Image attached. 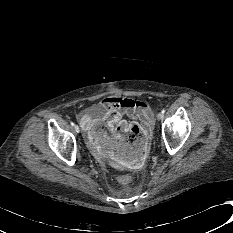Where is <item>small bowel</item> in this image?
Returning <instances> with one entry per match:
<instances>
[{"instance_id": "c3829d8e", "label": "small bowel", "mask_w": 233, "mask_h": 233, "mask_svg": "<svg viewBox=\"0 0 233 233\" xmlns=\"http://www.w3.org/2000/svg\"><path fill=\"white\" fill-rule=\"evenodd\" d=\"M107 110L106 117H89L82 119L91 146L96 153L107 154L109 162L124 167H138L149 149V141L143 131L133 126L140 122L145 129L149 126L153 112L147 103L119 96H108L101 101ZM132 119L129 123L123 115ZM106 122L109 129L101 130Z\"/></svg>"}]
</instances>
